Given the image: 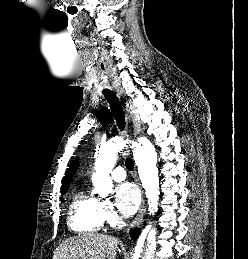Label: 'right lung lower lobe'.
<instances>
[{"label":"right lung lower lobe","mask_w":248,"mask_h":259,"mask_svg":"<svg viewBox=\"0 0 248 259\" xmlns=\"http://www.w3.org/2000/svg\"><path fill=\"white\" fill-rule=\"evenodd\" d=\"M138 235H139V230H137V229H135L131 232V236H132L133 240H136Z\"/></svg>","instance_id":"1"}]
</instances>
